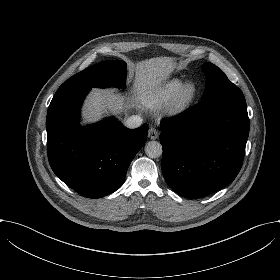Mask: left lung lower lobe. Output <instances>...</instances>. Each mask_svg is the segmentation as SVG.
<instances>
[{"instance_id": "left-lung-lower-lobe-1", "label": "left lung lower lobe", "mask_w": 280, "mask_h": 280, "mask_svg": "<svg viewBox=\"0 0 280 280\" xmlns=\"http://www.w3.org/2000/svg\"><path fill=\"white\" fill-rule=\"evenodd\" d=\"M160 125L163 176L179 195L191 199L207 196L239 173L249 118L238 87L202 100Z\"/></svg>"}]
</instances>
